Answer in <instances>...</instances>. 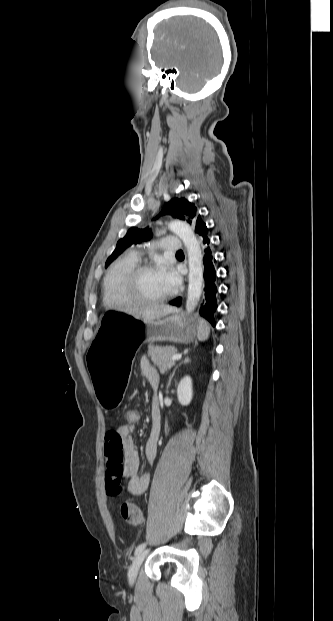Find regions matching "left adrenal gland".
Here are the masks:
<instances>
[{
    "instance_id": "a2214340",
    "label": "left adrenal gland",
    "mask_w": 333,
    "mask_h": 621,
    "mask_svg": "<svg viewBox=\"0 0 333 621\" xmlns=\"http://www.w3.org/2000/svg\"><path fill=\"white\" fill-rule=\"evenodd\" d=\"M189 362H190V359L187 357V358H185V360H184L183 362H181L180 364H178V365L174 368V370H173L172 374H171V375H170V377H169L168 384H167V388L170 386V384H171V380H172L173 376L175 375L176 370H177V369H178V368H179L182 364H188Z\"/></svg>"
}]
</instances>
